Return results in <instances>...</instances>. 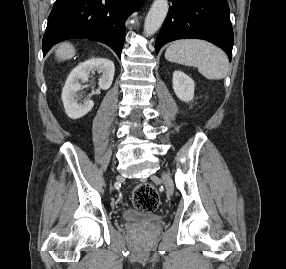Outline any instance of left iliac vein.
Wrapping results in <instances>:
<instances>
[{
	"label": "left iliac vein",
	"mask_w": 286,
	"mask_h": 269,
	"mask_svg": "<svg viewBox=\"0 0 286 269\" xmlns=\"http://www.w3.org/2000/svg\"><path fill=\"white\" fill-rule=\"evenodd\" d=\"M163 180H164V184H165V187L167 189V192L169 194H172L173 190H174V185H173V182H172V179H171L170 175L169 174H164L163 175Z\"/></svg>",
	"instance_id": "obj_1"
}]
</instances>
